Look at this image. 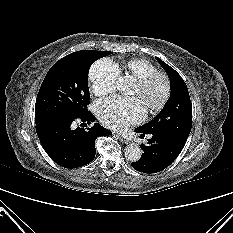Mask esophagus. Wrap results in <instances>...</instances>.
<instances>
[{
    "instance_id": "esophagus-1",
    "label": "esophagus",
    "mask_w": 233,
    "mask_h": 233,
    "mask_svg": "<svg viewBox=\"0 0 233 233\" xmlns=\"http://www.w3.org/2000/svg\"><path fill=\"white\" fill-rule=\"evenodd\" d=\"M119 139L124 144H128L130 142V140L128 138L123 137V136H120Z\"/></svg>"
}]
</instances>
